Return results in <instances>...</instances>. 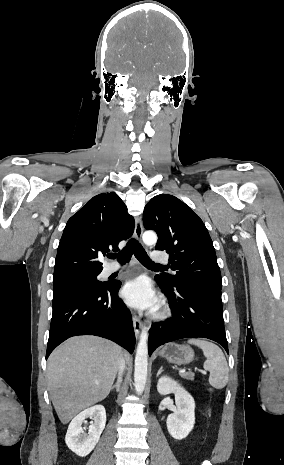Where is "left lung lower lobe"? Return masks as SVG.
Wrapping results in <instances>:
<instances>
[{
	"instance_id": "obj_1",
	"label": "left lung lower lobe",
	"mask_w": 284,
	"mask_h": 465,
	"mask_svg": "<svg viewBox=\"0 0 284 465\" xmlns=\"http://www.w3.org/2000/svg\"><path fill=\"white\" fill-rule=\"evenodd\" d=\"M166 293L173 318L152 327L149 333V355L160 345L182 339L204 337L218 342L228 353L224 329L221 290L202 284L178 283L170 288L155 277Z\"/></svg>"
}]
</instances>
